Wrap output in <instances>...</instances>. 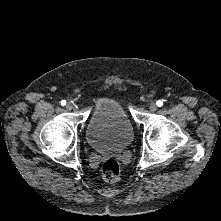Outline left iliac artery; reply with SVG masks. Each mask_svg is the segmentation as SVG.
I'll list each match as a JSON object with an SVG mask.
<instances>
[{"label": "left iliac artery", "mask_w": 221, "mask_h": 221, "mask_svg": "<svg viewBox=\"0 0 221 221\" xmlns=\"http://www.w3.org/2000/svg\"><path fill=\"white\" fill-rule=\"evenodd\" d=\"M156 104H157V106L161 107V106L163 105V101H162V100H158V101L156 102Z\"/></svg>", "instance_id": "44dca946"}]
</instances>
